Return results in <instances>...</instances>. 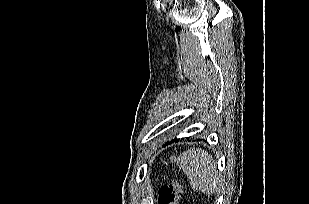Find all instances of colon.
Instances as JSON below:
<instances>
[{"label":"colon","instance_id":"colon-1","mask_svg":"<svg viewBox=\"0 0 309 204\" xmlns=\"http://www.w3.org/2000/svg\"><path fill=\"white\" fill-rule=\"evenodd\" d=\"M183 186L174 180L168 185H164L159 190V204H178L182 197Z\"/></svg>","mask_w":309,"mask_h":204}]
</instances>
